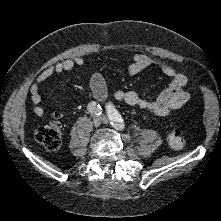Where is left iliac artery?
Listing matches in <instances>:
<instances>
[{
    "label": "left iliac artery",
    "instance_id": "left-iliac-artery-1",
    "mask_svg": "<svg viewBox=\"0 0 221 221\" xmlns=\"http://www.w3.org/2000/svg\"><path fill=\"white\" fill-rule=\"evenodd\" d=\"M107 116L110 120V123L118 130L124 129V120L119 112L114 108L112 104H108L107 107Z\"/></svg>",
    "mask_w": 221,
    "mask_h": 221
}]
</instances>
